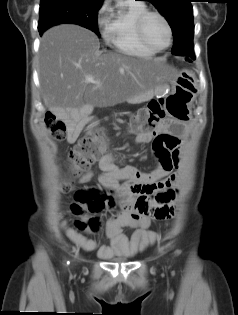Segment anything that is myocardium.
<instances>
[{
	"label": "myocardium",
	"instance_id": "1",
	"mask_svg": "<svg viewBox=\"0 0 238 315\" xmlns=\"http://www.w3.org/2000/svg\"><path fill=\"white\" fill-rule=\"evenodd\" d=\"M151 16H156V17L160 18L163 21V23L165 24V26H166V29H167V32H168V42L162 48L155 47L146 38V35H145V24H146L148 18L151 17ZM136 30H137L138 38L142 42V44L144 46H146L147 48H149L150 50L154 51V52H162V51L168 49L171 46V44H172L173 31H172V27L170 25V22L168 21V19L162 13H160L158 11L147 10L144 13H142L139 16L138 20H137Z\"/></svg>",
	"mask_w": 238,
	"mask_h": 315
}]
</instances>
